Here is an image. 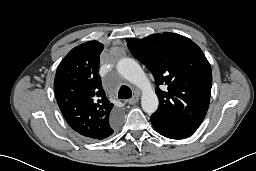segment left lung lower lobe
Instances as JSON below:
<instances>
[{
	"instance_id": "0a47b994",
	"label": "left lung lower lobe",
	"mask_w": 256,
	"mask_h": 171,
	"mask_svg": "<svg viewBox=\"0 0 256 171\" xmlns=\"http://www.w3.org/2000/svg\"><path fill=\"white\" fill-rule=\"evenodd\" d=\"M151 122H152V125L155 128V130L159 134H161L167 138L183 139V138L190 136V135H187V134L179 131L178 129H176V127L174 125H172L171 123H169L165 120L156 118L154 116H151Z\"/></svg>"
}]
</instances>
